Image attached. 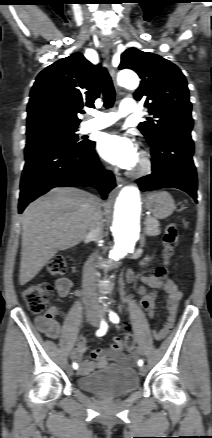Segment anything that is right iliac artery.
Returning <instances> with one entry per match:
<instances>
[{
  "label": "right iliac artery",
  "mask_w": 212,
  "mask_h": 438,
  "mask_svg": "<svg viewBox=\"0 0 212 438\" xmlns=\"http://www.w3.org/2000/svg\"><path fill=\"white\" fill-rule=\"evenodd\" d=\"M107 328H108V326H107L106 322L102 320L100 328L97 330L96 335L97 336L105 335V333L107 332ZM72 367L76 370V369H78V364L74 362L72 364Z\"/></svg>",
  "instance_id": "right-iliac-artery-1"
}]
</instances>
